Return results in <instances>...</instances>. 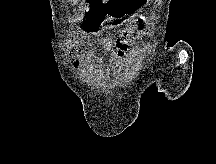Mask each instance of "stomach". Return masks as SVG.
Returning <instances> with one entry per match:
<instances>
[{
  "label": "stomach",
  "instance_id": "stomach-1",
  "mask_svg": "<svg viewBox=\"0 0 216 164\" xmlns=\"http://www.w3.org/2000/svg\"><path fill=\"white\" fill-rule=\"evenodd\" d=\"M107 7L89 9V14H100L106 20H129L135 10L144 7L148 0H108Z\"/></svg>",
  "mask_w": 216,
  "mask_h": 164
}]
</instances>
